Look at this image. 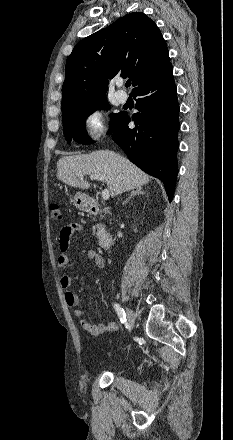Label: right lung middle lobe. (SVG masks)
Here are the masks:
<instances>
[{
    "instance_id": "right-lung-middle-lobe-1",
    "label": "right lung middle lobe",
    "mask_w": 233,
    "mask_h": 440,
    "mask_svg": "<svg viewBox=\"0 0 233 440\" xmlns=\"http://www.w3.org/2000/svg\"><path fill=\"white\" fill-rule=\"evenodd\" d=\"M108 109L109 104L106 97L98 98L82 103L74 104L62 108L63 113V127L66 140L70 143L71 140H75L81 144L94 143L89 137H87L85 131V120L95 110ZM124 112L111 114L112 125L109 132H112L119 124Z\"/></svg>"
}]
</instances>
